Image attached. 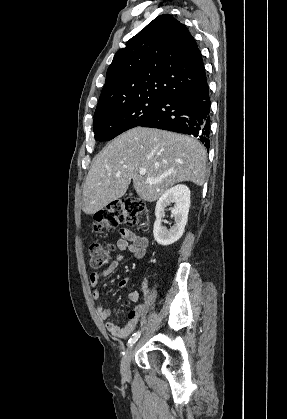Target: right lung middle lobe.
<instances>
[{"mask_svg": "<svg viewBox=\"0 0 287 419\" xmlns=\"http://www.w3.org/2000/svg\"><path fill=\"white\" fill-rule=\"evenodd\" d=\"M163 98H139L109 107L94 114V137L108 141L126 130L139 126L157 110Z\"/></svg>", "mask_w": 287, "mask_h": 419, "instance_id": "right-lung-middle-lobe-1", "label": "right lung middle lobe"}]
</instances>
